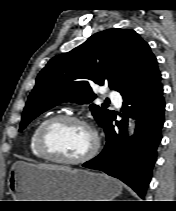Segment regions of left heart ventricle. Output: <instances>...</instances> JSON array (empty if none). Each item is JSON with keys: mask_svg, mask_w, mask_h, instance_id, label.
Masks as SVG:
<instances>
[{"mask_svg": "<svg viewBox=\"0 0 176 211\" xmlns=\"http://www.w3.org/2000/svg\"><path fill=\"white\" fill-rule=\"evenodd\" d=\"M46 140L55 153L71 159L84 155L93 144L91 133L73 122L55 124L48 130Z\"/></svg>", "mask_w": 176, "mask_h": 211, "instance_id": "b2bd125f", "label": "left heart ventricle"}]
</instances>
